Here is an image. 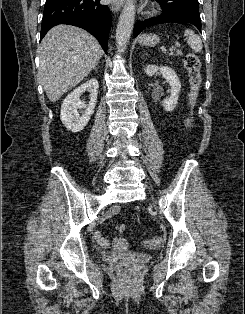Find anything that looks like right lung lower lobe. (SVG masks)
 <instances>
[{"label":"right lung lower lobe","mask_w":245,"mask_h":314,"mask_svg":"<svg viewBox=\"0 0 245 314\" xmlns=\"http://www.w3.org/2000/svg\"><path fill=\"white\" fill-rule=\"evenodd\" d=\"M58 24L74 25L87 30L107 52L112 20L109 8L101 5L100 0H46L40 39Z\"/></svg>","instance_id":"1"}]
</instances>
